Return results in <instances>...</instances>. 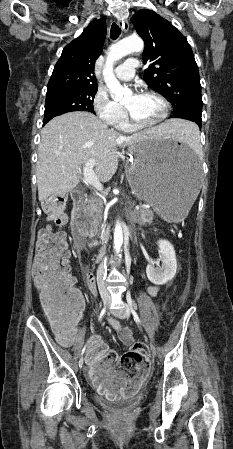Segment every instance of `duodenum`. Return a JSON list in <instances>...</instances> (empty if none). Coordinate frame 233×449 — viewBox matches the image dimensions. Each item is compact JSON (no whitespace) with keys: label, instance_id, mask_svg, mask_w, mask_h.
Instances as JSON below:
<instances>
[{"label":"duodenum","instance_id":"obj_1","mask_svg":"<svg viewBox=\"0 0 233 449\" xmlns=\"http://www.w3.org/2000/svg\"><path fill=\"white\" fill-rule=\"evenodd\" d=\"M85 199H86V195L82 192L74 193L72 196V200L74 202V209H73V213H72V223L75 227H77L82 221V217H81L79 208L82 206ZM107 251H108L107 246H104L97 253L96 260L97 261L103 260L105 258V256L107 255Z\"/></svg>","mask_w":233,"mask_h":449}]
</instances>
